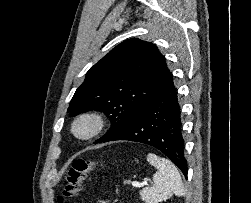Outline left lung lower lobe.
<instances>
[{
	"label": "left lung lower lobe",
	"mask_w": 251,
	"mask_h": 203,
	"mask_svg": "<svg viewBox=\"0 0 251 203\" xmlns=\"http://www.w3.org/2000/svg\"><path fill=\"white\" fill-rule=\"evenodd\" d=\"M115 140L141 142L157 148L187 177L181 108L170 71L153 98L123 131L108 141Z\"/></svg>",
	"instance_id": "1"
}]
</instances>
